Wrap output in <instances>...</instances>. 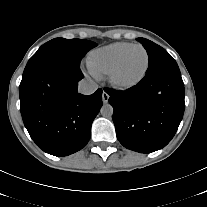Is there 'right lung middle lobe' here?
<instances>
[{"label":"right lung middle lobe","instance_id":"1","mask_svg":"<svg viewBox=\"0 0 207 207\" xmlns=\"http://www.w3.org/2000/svg\"><path fill=\"white\" fill-rule=\"evenodd\" d=\"M97 44L82 39L55 38L43 44L29 59L23 73L30 72L46 63L62 61L80 66L83 56Z\"/></svg>","mask_w":207,"mask_h":207}]
</instances>
